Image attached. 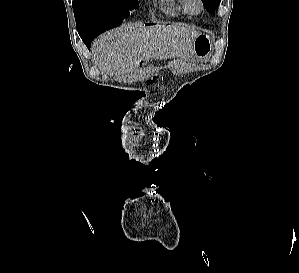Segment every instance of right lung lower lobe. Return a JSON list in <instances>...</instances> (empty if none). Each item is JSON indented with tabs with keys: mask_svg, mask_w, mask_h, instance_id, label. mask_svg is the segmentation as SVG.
<instances>
[{
	"mask_svg": "<svg viewBox=\"0 0 299 273\" xmlns=\"http://www.w3.org/2000/svg\"><path fill=\"white\" fill-rule=\"evenodd\" d=\"M124 20V19H123ZM116 22L114 24L108 25V26H94V27H88L83 30L78 31L81 39L87 46V48L90 50V43L92 40H94L99 34L105 32L106 30H109L111 28H114L122 23V21Z\"/></svg>",
	"mask_w": 299,
	"mask_h": 273,
	"instance_id": "right-lung-lower-lobe-1",
	"label": "right lung lower lobe"
}]
</instances>
